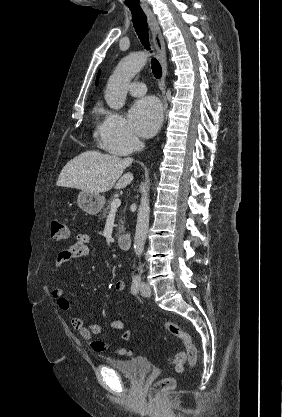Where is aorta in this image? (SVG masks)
<instances>
[{
	"instance_id": "762f6f07",
	"label": "aorta",
	"mask_w": 282,
	"mask_h": 417,
	"mask_svg": "<svg viewBox=\"0 0 282 417\" xmlns=\"http://www.w3.org/2000/svg\"><path fill=\"white\" fill-rule=\"evenodd\" d=\"M148 56H150L148 50H141V52H134L130 56H125L118 62L113 74L108 78L104 94L110 108H122L123 104H125L129 82L146 64ZM149 213V196L144 194L137 213L133 245L137 259H140L144 251L149 229Z\"/></svg>"
}]
</instances>
